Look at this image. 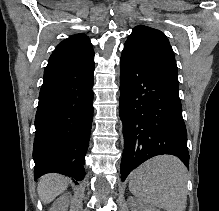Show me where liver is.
Wrapping results in <instances>:
<instances>
[{"label":"liver","mask_w":219,"mask_h":211,"mask_svg":"<svg viewBox=\"0 0 219 211\" xmlns=\"http://www.w3.org/2000/svg\"><path fill=\"white\" fill-rule=\"evenodd\" d=\"M68 183H70L68 177L60 173H46L38 181V195L43 203H49L67 189Z\"/></svg>","instance_id":"liver-1"}]
</instances>
